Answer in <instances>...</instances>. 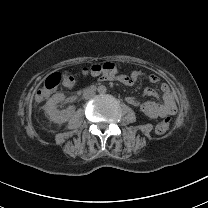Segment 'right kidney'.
I'll return each instance as SVG.
<instances>
[{
	"mask_svg": "<svg viewBox=\"0 0 208 208\" xmlns=\"http://www.w3.org/2000/svg\"><path fill=\"white\" fill-rule=\"evenodd\" d=\"M65 99V95L62 93H57L53 95L44 106L45 112L49 115L50 120L53 123H64L66 122L70 115L67 110L62 111L61 114H59V110L56 107V103L61 102Z\"/></svg>",
	"mask_w": 208,
	"mask_h": 208,
	"instance_id": "ca27d5eb",
	"label": "right kidney"
}]
</instances>
